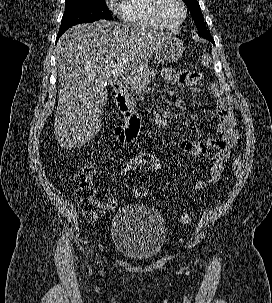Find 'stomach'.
I'll use <instances>...</instances> for the list:
<instances>
[{"mask_svg":"<svg viewBox=\"0 0 272 303\" xmlns=\"http://www.w3.org/2000/svg\"><path fill=\"white\" fill-rule=\"evenodd\" d=\"M183 50V41L169 36L155 50V59L160 63H172L182 56Z\"/></svg>","mask_w":272,"mask_h":303,"instance_id":"0dacf381","label":"stomach"}]
</instances>
